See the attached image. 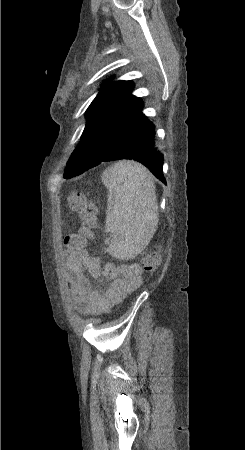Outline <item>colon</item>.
Returning a JSON list of instances; mask_svg holds the SVG:
<instances>
[{"instance_id": "colon-1", "label": "colon", "mask_w": 245, "mask_h": 450, "mask_svg": "<svg viewBox=\"0 0 245 450\" xmlns=\"http://www.w3.org/2000/svg\"><path fill=\"white\" fill-rule=\"evenodd\" d=\"M69 207L77 212L81 226L75 233L64 238V246L79 259L86 256L87 241L95 239L94 231L97 228V205L87 195L81 192H71L68 195ZM160 263V256L156 251H149L139 258L140 267L146 272H153Z\"/></svg>"}]
</instances>
